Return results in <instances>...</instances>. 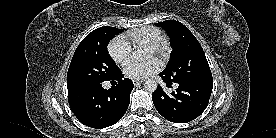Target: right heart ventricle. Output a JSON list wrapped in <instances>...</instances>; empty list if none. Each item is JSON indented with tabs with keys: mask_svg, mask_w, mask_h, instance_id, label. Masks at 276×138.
I'll use <instances>...</instances> for the list:
<instances>
[{
	"mask_svg": "<svg viewBox=\"0 0 276 138\" xmlns=\"http://www.w3.org/2000/svg\"><path fill=\"white\" fill-rule=\"evenodd\" d=\"M127 37L135 43H147L152 44L156 41L164 39L162 31L156 27H142L128 32Z\"/></svg>",
	"mask_w": 276,
	"mask_h": 138,
	"instance_id": "obj_1",
	"label": "right heart ventricle"
}]
</instances>
